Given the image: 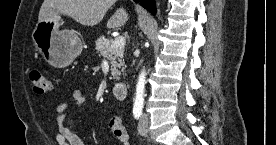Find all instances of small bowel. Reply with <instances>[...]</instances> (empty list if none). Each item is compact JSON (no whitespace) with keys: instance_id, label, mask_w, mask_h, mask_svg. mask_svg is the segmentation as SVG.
<instances>
[{"instance_id":"c3829d8e","label":"small bowel","mask_w":276,"mask_h":145,"mask_svg":"<svg viewBox=\"0 0 276 145\" xmlns=\"http://www.w3.org/2000/svg\"><path fill=\"white\" fill-rule=\"evenodd\" d=\"M72 96L76 105H83L87 101V94L82 89H75ZM67 110L68 103L65 101L58 103L55 108L57 125L55 135L56 141L59 145H84L81 138L71 130L76 122V118H67ZM109 127L120 145H131L129 135L119 116L110 118Z\"/></svg>"}]
</instances>
